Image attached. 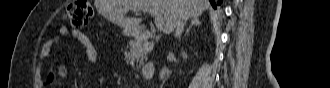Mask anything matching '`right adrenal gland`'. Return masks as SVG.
Returning <instances> with one entry per match:
<instances>
[{
    "instance_id": "1",
    "label": "right adrenal gland",
    "mask_w": 330,
    "mask_h": 88,
    "mask_svg": "<svg viewBox=\"0 0 330 88\" xmlns=\"http://www.w3.org/2000/svg\"><path fill=\"white\" fill-rule=\"evenodd\" d=\"M198 24H201V21L199 20V16H194L191 20V24L185 31V36L188 35V33L193 25H198Z\"/></svg>"
}]
</instances>
